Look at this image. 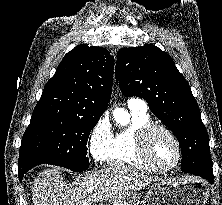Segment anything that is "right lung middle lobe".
<instances>
[{
    "label": "right lung middle lobe",
    "instance_id": "dd1d6c3e",
    "mask_svg": "<svg viewBox=\"0 0 222 205\" xmlns=\"http://www.w3.org/2000/svg\"><path fill=\"white\" fill-rule=\"evenodd\" d=\"M99 118L64 114L32 117L21 141L19 165L37 162L74 172L87 170V140Z\"/></svg>",
    "mask_w": 222,
    "mask_h": 205
}]
</instances>
